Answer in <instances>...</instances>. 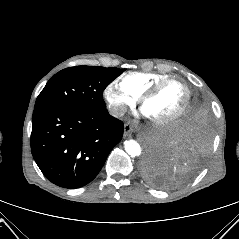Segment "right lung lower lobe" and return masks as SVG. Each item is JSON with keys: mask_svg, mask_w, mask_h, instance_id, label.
<instances>
[{"mask_svg": "<svg viewBox=\"0 0 239 239\" xmlns=\"http://www.w3.org/2000/svg\"><path fill=\"white\" fill-rule=\"evenodd\" d=\"M124 124L106 108L51 106L34 109L31 151L52 183L79 188L91 182L123 136Z\"/></svg>", "mask_w": 239, "mask_h": 239, "instance_id": "1", "label": "right lung lower lobe"}]
</instances>
